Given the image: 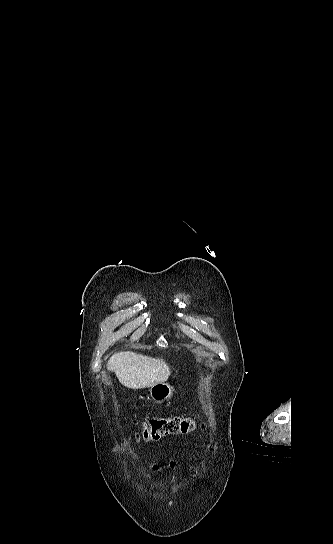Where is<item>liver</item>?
Here are the masks:
<instances>
[{
	"mask_svg": "<svg viewBox=\"0 0 333 544\" xmlns=\"http://www.w3.org/2000/svg\"><path fill=\"white\" fill-rule=\"evenodd\" d=\"M107 367L115 372L122 385L134 390L165 382L170 376V368L163 359L130 351L115 353Z\"/></svg>",
	"mask_w": 333,
	"mask_h": 544,
	"instance_id": "liver-1",
	"label": "liver"
}]
</instances>
